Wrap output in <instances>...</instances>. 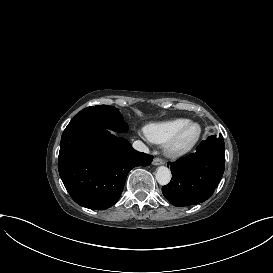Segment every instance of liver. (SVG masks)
<instances>
[{
  "label": "liver",
  "mask_w": 273,
  "mask_h": 273,
  "mask_svg": "<svg viewBox=\"0 0 273 273\" xmlns=\"http://www.w3.org/2000/svg\"><path fill=\"white\" fill-rule=\"evenodd\" d=\"M107 132H109L110 134L112 135H115V132L111 129H108V128H104Z\"/></svg>",
  "instance_id": "liver-1"
}]
</instances>
